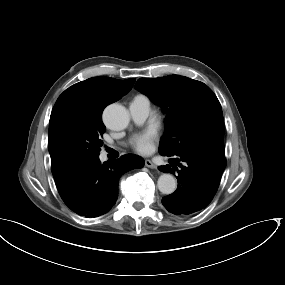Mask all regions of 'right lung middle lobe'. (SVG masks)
<instances>
[{
	"label": "right lung middle lobe",
	"instance_id": "1",
	"mask_svg": "<svg viewBox=\"0 0 285 285\" xmlns=\"http://www.w3.org/2000/svg\"><path fill=\"white\" fill-rule=\"evenodd\" d=\"M104 107L76 97H59L49 122L48 149L53 175L99 157Z\"/></svg>",
	"mask_w": 285,
	"mask_h": 285
}]
</instances>
